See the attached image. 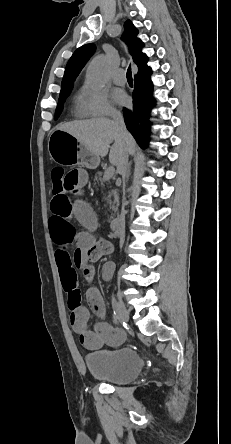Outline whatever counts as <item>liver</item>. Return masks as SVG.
<instances>
[{"instance_id":"obj_1","label":"liver","mask_w":231,"mask_h":444,"mask_svg":"<svg viewBox=\"0 0 231 444\" xmlns=\"http://www.w3.org/2000/svg\"><path fill=\"white\" fill-rule=\"evenodd\" d=\"M57 130L65 131L89 149L98 157L108 154L110 144L109 161L118 167L126 155L134 154L136 142L127 132V138L119 133L114 121L109 119H93L84 121H73L57 126Z\"/></svg>"}]
</instances>
